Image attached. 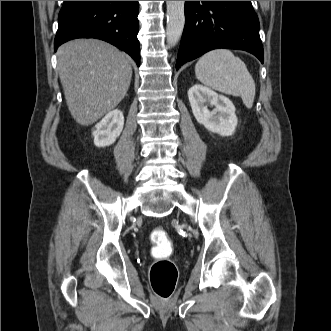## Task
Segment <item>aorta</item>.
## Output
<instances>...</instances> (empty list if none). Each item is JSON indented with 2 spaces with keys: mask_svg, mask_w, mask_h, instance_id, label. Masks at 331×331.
<instances>
[{
  "mask_svg": "<svg viewBox=\"0 0 331 331\" xmlns=\"http://www.w3.org/2000/svg\"><path fill=\"white\" fill-rule=\"evenodd\" d=\"M167 27L166 39L169 46H175L182 35L185 25V1H166Z\"/></svg>",
  "mask_w": 331,
  "mask_h": 331,
  "instance_id": "obj_1",
  "label": "aorta"
}]
</instances>
